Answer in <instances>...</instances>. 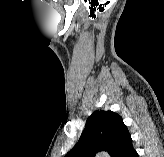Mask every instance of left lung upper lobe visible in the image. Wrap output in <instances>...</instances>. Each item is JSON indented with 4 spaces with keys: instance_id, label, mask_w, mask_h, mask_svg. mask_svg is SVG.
Here are the masks:
<instances>
[{
    "instance_id": "5c2ea615",
    "label": "left lung upper lobe",
    "mask_w": 164,
    "mask_h": 157,
    "mask_svg": "<svg viewBox=\"0 0 164 157\" xmlns=\"http://www.w3.org/2000/svg\"><path fill=\"white\" fill-rule=\"evenodd\" d=\"M130 138L120 115L112 111H95L86 121L82 135L65 157H94L97 152H114Z\"/></svg>"
}]
</instances>
